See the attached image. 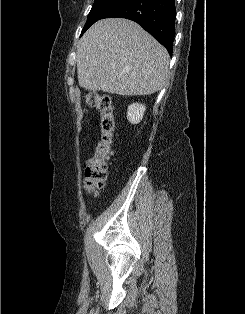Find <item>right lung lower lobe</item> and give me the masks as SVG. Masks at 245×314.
<instances>
[{"label":"right lung lower lobe","instance_id":"right-lung-lower-lobe-1","mask_svg":"<svg viewBox=\"0 0 245 314\" xmlns=\"http://www.w3.org/2000/svg\"><path fill=\"white\" fill-rule=\"evenodd\" d=\"M104 18H126L135 21L172 54L175 0H126Z\"/></svg>","mask_w":245,"mask_h":314}]
</instances>
